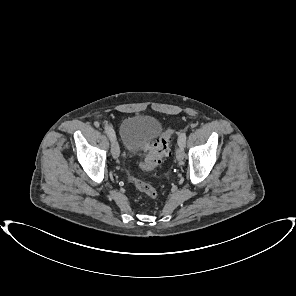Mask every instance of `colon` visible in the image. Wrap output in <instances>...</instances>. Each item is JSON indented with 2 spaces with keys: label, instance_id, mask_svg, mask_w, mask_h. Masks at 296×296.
Wrapping results in <instances>:
<instances>
[{
  "label": "colon",
  "instance_id": "colon-1",
  "mask_svg": "<svg viewBox=\"0 0 296 296\" xmlns=\"http://www.w3.org/2000/svg\"><path fill=\"white\" fill-rule=\"evenodd\" d=\"M174 134V129H168L155 142L148 146L147 157L139 164L143 170L154 169L161 164L164 158L171 154L170 145ZM132 183L139 191L146 194L149 198L155 199L157 197V191L152 185L136 177H132Z\"/></svg>",
  "mask_w": 296,
  "mask_h": 296
}]
</instances>
